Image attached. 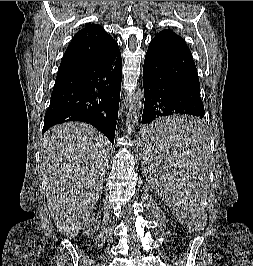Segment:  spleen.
<instances>
[{
	"label": "spleen",
	"mask_w": 253,
	"mask_h": 266,
	"mask_svg": "<svg viewBox=\"0 0 253 266\" xmlns=\"http://www.w3.org/2000/svg\"><path fill=\"white\" fill-rule=\"evenodd\" d=\"M146 138H140L141 168L147 169L151 187H163L158 198L170 204L182 229L202 233V201L207 198L209 142L202 141L204 123L197 115L166 113L155 123H142Z\"/></svg>",
	"instance_id": "obj_1"
}]
</instances>
